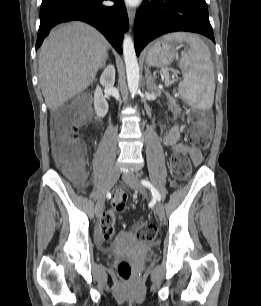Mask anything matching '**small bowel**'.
Instances as JSON below:
<instances>
[{
  "label": "small bowel",
  "mask_w": 261,
  "mask_h": 306,
  "mask_svg": "<svg viewBox=\"0 0 261 306\" xmlns=\"http://www.w3.org/2000/svg\"><path fill=\"white\" fill-rule=\"evenodd\" d=\"M180 139V130L178 127L174 126L170 129V131L164 137V143L171 147L173 150H183L188 152L191 156L193 162L196 165H199L202 162V154L201 152L193 147H189L179 142Z\"/></svg>",
  "instance_id": "c3829d8e"
}]
</instances>
